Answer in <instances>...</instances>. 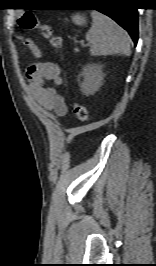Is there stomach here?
I'll list each match as a JSON object with an SVG mask.
<instances>
[{"label": "stomach", "instance_id": "obj_1", "mask_svg": "<svg viewBox=\"0 0 156 266\" xmlns=\"http://www.w3.org/2000/svg\"><path fill=\"white\" fill-rule=\"evenodd\" d=\"M72 21L77 25H84L86 23V18L84 15L76 14L72 16Z\"/></svg>", "mask_w": 156, "mask_h": 266}]
</instances>
